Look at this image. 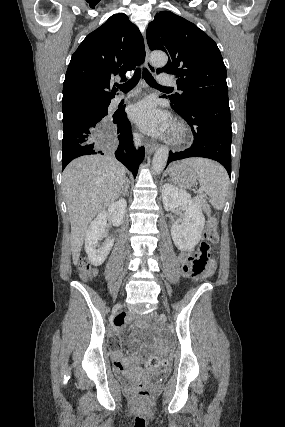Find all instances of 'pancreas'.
Listing matches in <instances>:
<instances>
[{
  "label": "pancreas",
  "instance_id": "cf45deb5",
  "mask_svg": "<svg viewBox=\"0 0 285 427\" xmlns=\"http://www.w3.org/2000/svg\"><path fill=\"white\" fill-rule=\"evenodd\" d=\"M196 203L198 204V206L200 208H202L207 214H210L211 210H210V206L208 205V203L206 202L205 199L202 198H198L196 200Z\"/></svg>",
  "mask_w": 285,
  "mask_h": 427
}]
</instances>
